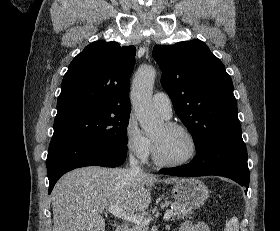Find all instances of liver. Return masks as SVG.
<instances>
[{
    "label": "liver",
    "mask_w": 280,
    "mask_h": 231,
    "mask_svg": "<svg viewBox=\"0 0 280 231\" xmlns=\"http://www.w3.org/2000/svg\"><path fill=\"white\" fill-rule=\"evenodd\" d=\"M155 181L173 183L177 177L157 179L125 167H78L65 173L52 191L53 231H105L103 209L122 207L127 213L145 211Z\"/></svg>",
    "instance_id": "6515ba94"
}]
</instances>
